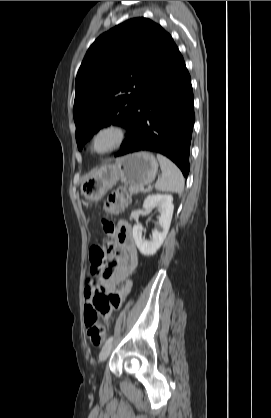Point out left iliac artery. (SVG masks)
Masks as SVG:
<instances>
[{
  "label": "left iliac artery",
  "instance_id": "44dca946",
  "mask_svg": "<svg viewBox=\"0 0 271 418\" xmlns=\"http://www.w3.org/2000/svg\"><path fill=\"white\" fill-rule=\"evenodd\" d=\"M113 339H114V337H113V336L109 337V338L106 340L105 345L112 343Z\"/></svg>",
  "mask_w": 271,
  "mask_h": 418
}]
</instances>
